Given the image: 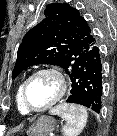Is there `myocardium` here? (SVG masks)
I'll list each match as a JSON object with an SVG mask.
<instances>
[{
	"label": "myocardium",
	"mask_w": 117,
	"mask_h": 136,
	"mask_svg": "<svg viewBox=\"0 0 117 136\" xmlns=\"http://www.w3.org/2000/svg\"><path fill=\"white\" fill-rule=\"evenodd\" d=\"M41 74L52 75L58 82L59 90L55 98L50 103H48L46 106L42 108L36 109V108L31 107L28 103L27 88L31 80ZM66 91H67V82H66L65 77L59 70L55 68H41V69L34 71L32 74H30L26 78V80L23 82L22 91H21V100H22L23 106L29 113H43L49 110L50 108H52L54 105H56L64 97Z\"/></svg>",
	"instance_id": "obj_1"
}]
</instances>
